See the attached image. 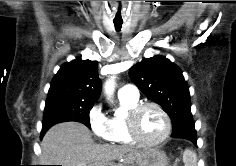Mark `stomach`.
<instances>
[{"label": "stomach", "instance_id": "obj_1", "mask_svg": "<svg viewBox=\"0 0 236 166\" xmlns=\"http://www.w3.org/2000/svg\"><path fill=\"white\" fill-rule=\"evenodd\" d=\"M168 159L163 151L158 149H149L143 152L140 160L131 164H119L117 166H167Z\"/></svg>", "mask_w": 236, "mask_h": 166}]
</instances>
